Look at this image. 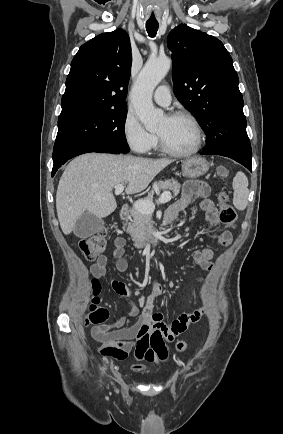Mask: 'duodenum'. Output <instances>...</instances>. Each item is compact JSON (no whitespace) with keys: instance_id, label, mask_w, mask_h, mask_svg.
I'll return each mask as SVG.
<instances>
[{"instance_id":"410a0bca","label":"duodenum","mask_w":283,"mask_h":434,"mask_svg":"<svg viewBox=\"0 0 283 434\" xmlns=\"http://www.w3.org/2000/svg\"><path fill=\"white\" fill-rule=\"evenodd\" d=\"M129 213H130V206L128 204H126L120 210L119 216L122 220H126L129 216ZM160 242H161L160 237H153L150 239L149 245L152 247H155V246L159 245Z\"/></svg>"}]
</instances>
